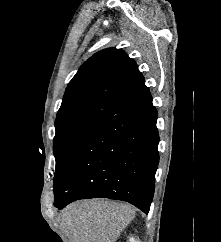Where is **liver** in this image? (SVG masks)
Returning <instances> with one entry per match:
<instances>
[{"label": "liver", "mask_w": 221, "mask_h": 242, "mask_svg": "<svg viewBox=\"0 0 221 242\" xmlns=\"http://www.w3.org/2000/svg\"><path fill=\"white\" fill-rule=\"evenodd\" d=\"M134 216L126 203L78 201L64 209L61 226L69 242H115Z\"/></svg>", "instance_id": "obj_1"}]
</instances>
